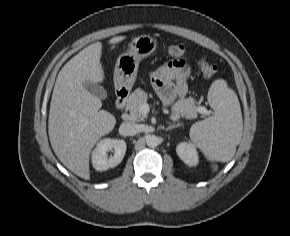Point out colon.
<instances>
[{
    "label": "colon",
    "mask_w": 290,
    "mask_h": 236,
    "mask_svg": "<svg viewBox=\"0 0 290 236\" xmlns=\"http://www.w3.org/2000/svg\"><path fill=\"white\" fill-rule=\"evenodd\" d=\"M168 54L172 57H182L186 54V47L182 44H172L167 48ZM197 64L200 67L201 72L205 77H213L217 73V67L209 62L206 56L201 55Z\"/></svg>",
    "instance_id": "1"
}]
</instances>
